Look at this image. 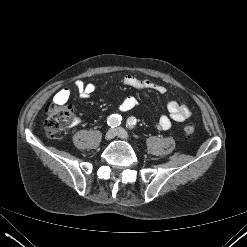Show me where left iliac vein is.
Returning a JSON list of instances; mask_svg holds the SVG:
<instances>
[{
    "mask_svg": "<svg viewBox=\"0 0 247 247\" xmlns=\"http://www.w3.org/2000/svg\"><path fill=\"white\" fill-rule=\"evenodd\" d=\"M116 135L124 140H128V134L123 128L116 129Z\"/></svg>",
    "mask_w": 247,
    "mask_h": 247,
    "instance_id": "1",
    "label": "left iliac vein"
}]
</instances>
